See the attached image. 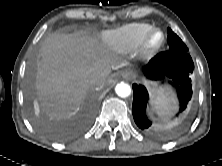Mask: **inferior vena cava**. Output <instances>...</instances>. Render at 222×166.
<instances>
[{
    "instance_id": "1",
    "label": "inferior vena cava",
    "mask_w": 222,
    "mask_h": 166,
    "mask_svg": "<svg viewBox=\"0 0 222 166\" xmlns=\"http://www.w3.org/2000/svg\"><path fill=\"white\" fill-rule=\"evenodd\" d=\"M90 83L96 85L97 87L102 88V80L100 78L92 77Z\"/></svg>"
}]
</instances>
